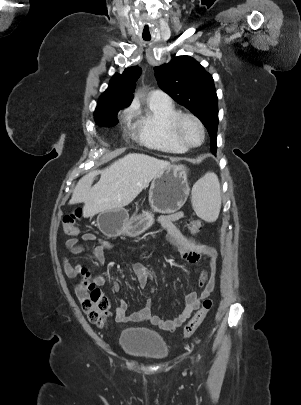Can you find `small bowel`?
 I'll return each instance as SVG.
<instances>
[{"label": "small bowel", "instance_id": "obj_1", "mask_svg": "<svg viewBox=\"0 0 301 405\" xmlns=\"http://www.w3.org/2000/svg\"><path fill=\"white\" fill-rule=\"evenodd\" d=\"M183 216L184 213L182 211L172 214H162L158 216V222L167 232V241L177 250L182 259L190 264H196L202 259L208 261V268L202 271L199 279L200 292L197 293L196 291H192L189 293L185 298L182 311L169 319L153 315L150 302H148L143 308L128 314L127 303L124 300H120L118 306L115 308L116 321L121 323L148 321L152 325L159 326L166 331H174L189 319L191 314L199 307L201 300L207 298L213 291L215 285L217 251L214 247L197 243L181 233L175 225V222L182 219ZM80 241H90L95 243L92 256L100 266H103L105 263V251L114 248V245L104 238L97 237L92 233H83L79 237H73L66 241L65 245L70 249L72 255H78L84 252V247L80 244ZM61 262L66 274L70 277L76 276L83 270V267L80 264L75 261H70L66 257H62ZM132 267L140 286L145 287L153 278L152 273L141 263H133ZM93 282L99 286L109 283L114 290H118L119 288L118 284L112 280L107 273L95 276ZM76 292L80 298L79 291L76 290Z\"/></svg>", "mask_w": 301, "mask_h": 405}]
</instances>
